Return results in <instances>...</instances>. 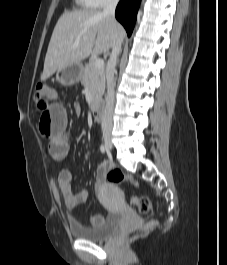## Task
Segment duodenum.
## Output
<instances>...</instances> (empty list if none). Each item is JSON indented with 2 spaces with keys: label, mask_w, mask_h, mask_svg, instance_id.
Returning a JSON list of instances; mask_svg holds the SVG:
<instances>
[{
  "label": "duodenum",
  "mask_w": 227,
  "mask_h": 265,
  "mask_svg": "<svg viewBox=\"0 0 227 265\" xmlns=\"http://www.w3.org/2000/svg\"><path fill=\"white\" fill-rule=\"evenodd\" d=\"M93 117L101 121L104 118V106L101 103H96L92 107Z\"/></svg>",
  "instance_id": "1"
}]
</instances>
